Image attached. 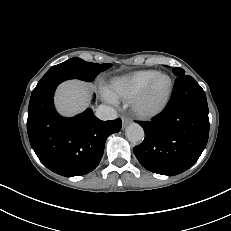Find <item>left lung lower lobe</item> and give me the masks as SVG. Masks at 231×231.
Wrapping results in <instances>:
<instances>
[{
  "instance_id": "left-lung-lower-lobe-1",
  "label": "left lung lower lobe",
  "mask_w": 231,
  "mask_h": 231,
  "mask_svg": "<svg viewBox=\"0 0 231 231\" xmlns=\"http://www.w3.org/2000/svg\"><path fill=\"white\" fill-rule=\"evenodd\" d=\"M144 141L134 154L147 170L173 176L192 167L209 136L208 106L204 90L189 75L177 77L168 106L149 122H138Z\"/></svg>"
}]
</instances>
